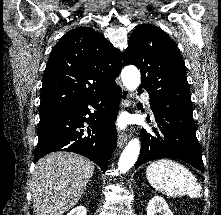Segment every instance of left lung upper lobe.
Wrapping results in <instances>:
<instances>
[{
	"label": "left lung upper lobe",
	"instance_id": "obj_1",
	"mask_svg": "<svg viewBox=\"0 0 221 215\" xmlns=\"http://www.w3.org/2000/svg\"><path fill=\"white\" fill-rule=\"evenodd\" d=\"M123 61L140 69L139 89H145L150 99L192 109L183 59L174 41L163 30L147 24L138 26L129 39Z\"/></svg>",
	"mask_w": 221,
	"mask_h": 215
}]
</instances>
